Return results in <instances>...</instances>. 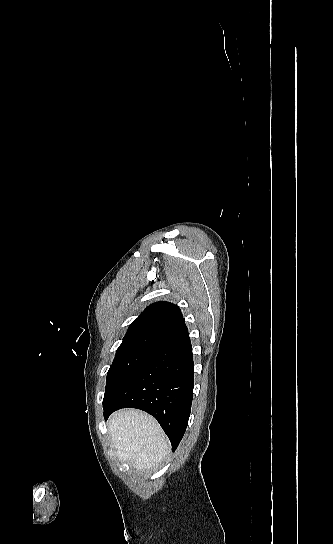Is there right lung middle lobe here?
<instances>
[{
	"label": "right lung middle lobe",
	"instance_id": "1",
	"mask_svg": "<svg viewBox=\"0 0 333 544\" xmlns=\"http://www.w3.org/2000/svg\"><path fill=\"white\" fill-rule=\"evenodd\" d=\"M151 347L118 349L107 374L103 406L127 382L137 367L148 357Z\"/></svg>",
	"mask_w": 333,
	"mask_h": 544
}]
</instances>
